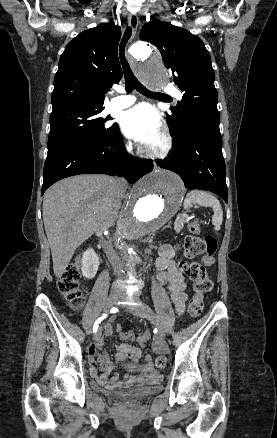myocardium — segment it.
<instances>
[{
	"label": "myocardium",
	"instance_id": "1",
	"mask_svg": "<svg viewBox=\"0 0 277 438\" xmlns=\"http://www.w3.org/2000/svg\"><path fill=\"white\" fill-rule=\"evenodd\" d=\"M129 50V47L128 49ZM161 139H162V146L159 150L157 151H149L148 153L150 154L151 157L153 158H164L167 156V154L170 152L171 148H172V138L170 136V134L166 131H163L161 133Z\"/></svg>",
	"mask_w": 277,
	"mask_h": 438
}]
</instances>
